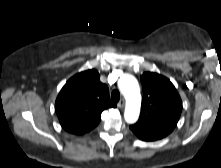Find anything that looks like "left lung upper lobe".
Wrapping results in <instances>:
<instances>
[{"label": "left lung upper lobe", "instance_id": "obj_1", "mask_svg": "<svg viewBox=\"0 0 221 168\" xmlns=\"http://www.w3.org/2000/svg\"><path fill=\"white\" fill-rule=\"evenodd\" d=\"M140 78L143 86L141 114L130 129L138 137L159 140L175 128L182 111V101L166 77L146 72Z\"/></svg>", "mask_w": 221, "mask_h": 168}]
</instances>
